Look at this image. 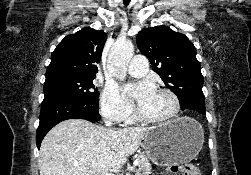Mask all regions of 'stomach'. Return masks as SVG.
Listing matches in <instances>:
<instances>
[{
	"label": "stomach",
	"instance_id": "stomach-1",
	"mask_svg": "<svg viewBox=\"0 0 251 175\" xmlns=\"http://www.w3.org/2000/svg\"><path fill=\"white\" fill-rule=\"evenodd\" d=\"M204 131L193 117H177L165 125L149 127L144 135L147 157L157 165H180L201 151Z\"/></svg>",
	"mask_w": 251,
	"mask_h": 175
}]
</instances>
